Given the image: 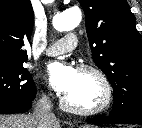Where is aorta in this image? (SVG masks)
Here are the masks:
<instances>
[{
  "label": "aorta",
  "instance_id": "1",
  "mask_svg": "<svg viewBox=\"0 0 142 128\" xmlns=\"http://www.w3.org/2000/svg\"><path fill=\"white\" fill-rule=\"evenodd\" d=\"M81 19V11L76 8H70L54 16L53 26L60 32L70 31L79 25Z\"/></svg>",
  "mask_w": 142,
  "mask_h": 128
}]
</instances>
